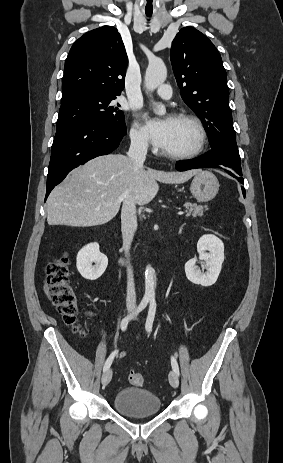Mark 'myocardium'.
I'll return each mask as SVG.
<instances>
[{
	"instance_id": "myocardium-1",
	"label": "myocardium",
	"mask_w": 283,
	"mask_h": 463,
	"mask_svg": "<svg viewBox=\"0 0 283 463\" xmlns=\"http://www.w3.org/2000/svg\"><path fill=\"white\" fill-rule=\"evenodd\" d=\"M172 120L185 121L193 125L198 134V142L192 150L187 152L170 153L161 151V154L172 160H188L200 155L203 152L207 142V132L200 118L191 113H178L172 117Z\"/></svg>"
}]
</instances>
